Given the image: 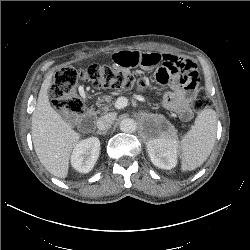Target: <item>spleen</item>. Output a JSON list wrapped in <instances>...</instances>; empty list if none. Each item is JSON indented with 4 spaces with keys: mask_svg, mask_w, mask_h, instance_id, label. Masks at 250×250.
I'll return each instance as SVG.
<instances>
[{
    "mask_svg": "<svg viewBox=\"0 0 250 250\" xmlns=\"http://www.w3.org/2000/svg\"><path fill=\"white\" fill-rule=\"evenodd\" d=\"M216 130V112L213 109L201 111L181 141L182 171L195 170L207 160L215 144Z\"/></svg>",
    "mask_w": 250,
    "mask_h": 250,
    "instance_id": "3e777b00",
    "label": "spleen"
}]
</instances>
